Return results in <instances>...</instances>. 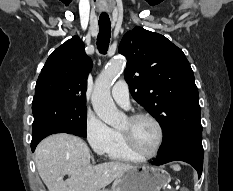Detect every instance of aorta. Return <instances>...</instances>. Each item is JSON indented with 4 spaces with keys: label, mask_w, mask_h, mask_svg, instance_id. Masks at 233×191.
Segmentation results:
<instances>
[{
    "label": "aorta",
    "mask_w": 233,
    "mask_h": 191,
    "mask_svg": "<svg viewBox=\"0 0 233 191\" xmlns=\"http://www.w3.org/2000/svg\"><path fill=\"white\" fill-rule=\"evenodd\" d=\"M126 64L124 57L113 59L100 74L91 97L92 106L97 116L111 127H118L125 115L118 111L111 97L114 79Z\"/></svg>",
    "instance_id": "1"
}]
</instances>
